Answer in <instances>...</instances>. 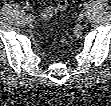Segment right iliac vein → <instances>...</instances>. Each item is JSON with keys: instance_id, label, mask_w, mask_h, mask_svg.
I'll return each instance as SVG.
<instances>
[{"instance_id": "obj_1", "label": "right iliac vein", "mask_w": 111, "mask_h": 106, "mask_svg": "<svg viewBox=\"0 0 111 106\" xmlns=\"http://www.w3.org/2000/svg\"><path fill=\"white\" fill-rule=\"evenodd\" d=\"M25 21H26L27 24H32L33 23V18L30 16V17L26 18Z\"/></svg>"}]
</instances>
